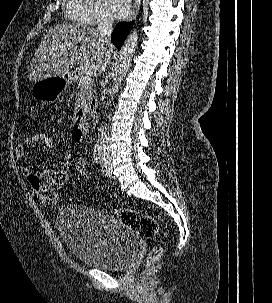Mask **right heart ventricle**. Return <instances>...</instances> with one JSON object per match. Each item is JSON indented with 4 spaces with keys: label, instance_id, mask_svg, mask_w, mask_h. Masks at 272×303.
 <instances>
[{
    "label": "right heart ventricle",
    "instance_id": "1",
    "mask_svg": "<svg viewBox=\"0 0 272 303\" xmlns=\"http://www.w3.org/2000/svg\"><path fill=\"white\" fill-rule=\"evenodd\" d=\"M65 16L74 24H90L87 0H65Z\"/></svg>",
    "mask_w": 272,
    "mask_h": 303
}]
</instances>
